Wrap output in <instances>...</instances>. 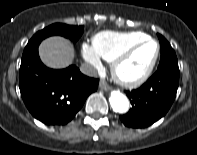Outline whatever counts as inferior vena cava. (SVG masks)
<instances>
[{
	"label": "inferior vena cava",
	"mask_w": 197,
	"mask_h": 155,
	"mask_svg": "<svg viewBox=\"0 0 197 155\" xmlns=\"http://www.w3.org/2000/svg\"><path fill=\"white\" fill-rule=\"evenodd\" d=\"M80 71L90 77H95L97 75L96 69L90 64H82L80 67Z\"/></svg>",
	"instance_id": "602c4592"
}]
</instances>
